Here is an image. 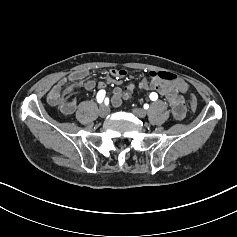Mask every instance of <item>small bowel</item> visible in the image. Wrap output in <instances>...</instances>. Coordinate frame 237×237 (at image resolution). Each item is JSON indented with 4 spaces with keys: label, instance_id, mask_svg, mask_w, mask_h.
Wrapping results in <instances>:
<instances>
[{
    "label": "small bowel",
    "instance_id": "obj_1",
    "mask_svg": "<svg viewBox=\"0 0 237 237\" xmlns=\"http://www.w3.org/2000/svg\"><path fill=\"white\" fill-rule=\"evenodd\" d=\"M156 71H149L147 77L141 80L139 86L142 89L149 91H156L165 97L167 100L172 114L176 120H182L186 114V99L183 94L188 89V84L179 79L178 81H167L158 79L155 74ZM89 71L85 68L77 69L70 74L60 78L56 81L47 93V102L54 107H57L59 111L64 115H71L76 112L78 108V102L76 99L65 100L61 96L62 88L68 82L80 81L87 78ZM126 71L123 69H112L110 75L112 78L120 79L126 76ZM84 88L91 91L98 88H105L106 83L104 81H97L95 79H87L84 81ZM128 93L124 92L121 88L116 87L112 93V104L119 106L124 96Z\"/></svg>",
    "mask_w": 237,
    "mask_h": 237
}]
</instances>
